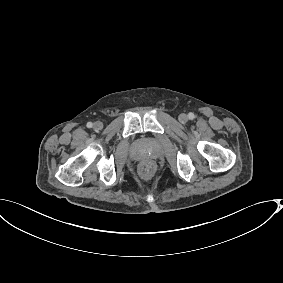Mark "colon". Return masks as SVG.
<instances>
[{
	"instance_id": "1",
	"label": "colon",
	"mask_w": 283,
	"mask_h": 283,
	"mask_svg": "<svg viewBox=\"0 0 283 283\" xmlns=\"http://www.w3.org/2000/svg\"><path fill=\"white\" fill-rule=\"evenodd\" d=\"M153 167L150 163H144L140 167V173L144 177H149L152 174Z\"/></svg>"
}]
</instances>
